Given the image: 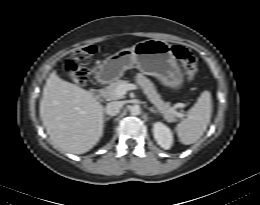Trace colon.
<instances>
[{
	"label": "colon",
	"mask_w": 260,
	"mask_h": 205,
	"mask_svg": "<svg viewBox=\"0 0 260 205\" xmlns=\"http://www.w3.org/2000/svg\"><path fill=\"white\" fill-rule=\"evenodd\" d=\"M95 53L96 47L93 45L78 48L72 52L70 59L65 62L64 69L73 83L78 85L86 84L89 71L85 65ZM173 54L182 63L187 78L189 80L194 79L198 71L194 54L181 45L173 47Z\"/></svg>",
	"instance_id": "5ec220e1"
}]
</instances>
